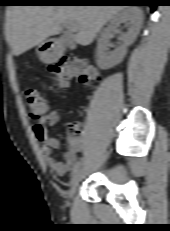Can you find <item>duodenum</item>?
<instances>
[{"mask_svg": "<svg viewBox=\"0 0 170 231\" xmlns=\"http://www.w3.org/2000/svg\"><path fill=\"white\" fill-rule=\"evenodd\" d=\"M56 54H60L62 52V49L58 48V49H55L54 51Z\"/></svg>", "mask_w": 170, "mask_h": 231, "instance_id": "410a0bca", "label": "duodenum"}]
</instances>
